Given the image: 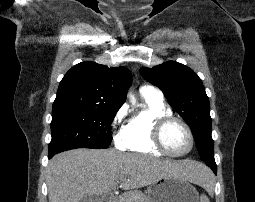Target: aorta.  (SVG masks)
<instances>
[{
	"label": "aorta",
	"instance_id": "obj_1",
	"mask_svg": "<svg viewBox=\"0 0 255 202\" xmlns=\"http://www.w3.org/2000/svg\"><path fill=\"white\" fill-rule=\"evenodd\" d=\"M129 97H130V99H131L132 101H136V99H135V97H134L133 95H129Z\"/></svg>",
	"mask_w": 255,
	"mask_h": 202
}]
</instances>
